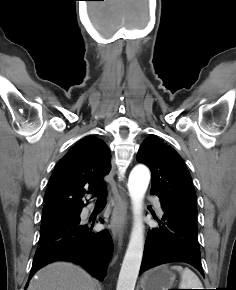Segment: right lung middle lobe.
<instances>
[{
  "label": "right lung middle lobe",
  "mask_w": 236,
  "mask_h": 290,
  "mask_svg": "<svg viewBox=\"0 0 236 290\" xmlns=\"http://www.w3.org/2000/svg\"><path fill=\"white\" fill-rule=\"evenodd\" d=\"M80 220V212H64L42 217L40 233Z\"/></svg>",
  "instance_id": "dd1d6c3e"
}]
</instances>
